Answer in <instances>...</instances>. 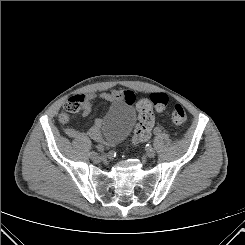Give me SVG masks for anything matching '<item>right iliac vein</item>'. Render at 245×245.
<instances>
[{
  "mask_svg": "<svg viewBox=\"0 0 245 245\" xmlns=\"http://www.w3.org/2000/svg\"><path fill=\"white\" fill-rule=\"evenodd\" d=\"M89 156L91 159H97L98 158V154L94 151L90 152Z\"/></svg>",
  "mask_w": 245,
  "mask_h": 245,
  "instance_id": "right-iliac-vein-1",
  "label": "right iliac vein"
}]
</instances>
